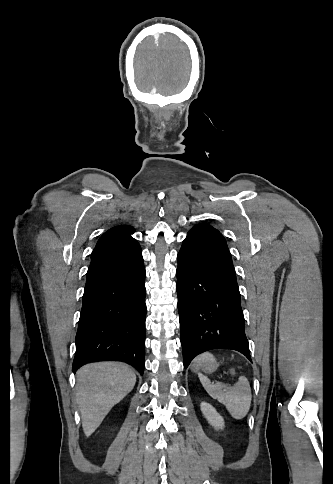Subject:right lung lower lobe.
I'll return each mask as SVG.
<instances>
[{
    "label": "right lung lower lobe",
    "mask_w": 333,
    "mask_h": 484,
    "mask_svg": "<svg viewBox=\"0 0 333 484\" xmlns=\"http://www.w3.org/2000/svg\"><path fill=\"white\" fill-rule=\"evenodd\" d=\"M145 275L140 245L92 257L75 341L74 372L90 361L119 360L143 374Z\"/></svg>",
    "instance_id": "right-lung-lower-lobe-1"
}]
</instances>
